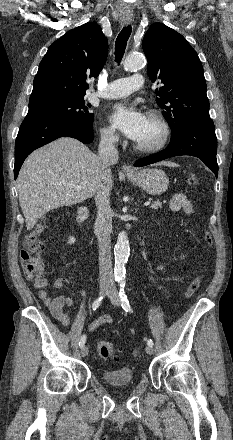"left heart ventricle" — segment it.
Segmentation results:
<instances>
[{
  "instance_id": "b2bd125f",
  "label": "left heart ventricle",
  "mask_w": 233,
  "mask_h": 440,
  "mask_svg": "<svg viewBox=\"0 0 233 440\" xmlns=\"http://www.w3.org/2000/svg\"><path fill=\"white\" fill-rule=\"evenodd\" d=\"M161 133L160 126L147 117L145 127L136 141L146 145L154 144L160 139Z\"/></svg>"
}]
</instances>
